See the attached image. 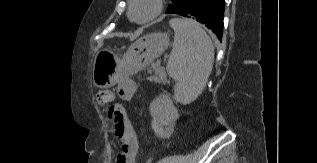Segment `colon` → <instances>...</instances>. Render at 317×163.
Instances as JSON below:
<instances>
[{
    "instance_id": "1",
    "label": "colon",
    "mask_w": 317,
    "mask_h": 163,
    "mask_svg": "<svg viewBox=\"0 0 317 163\" xmlns=\"http://www.w3.org/2000/svg\"><path fill=\"white\" fill-rule=\"evenodd\" d=\"M96 100L100 105L108 104L112 100V92L101 90L96 94ZM109 117L114 130L117 133H122L126 126V115L123 106L119 103H112L109 109Z\"/></svg>"
}]
</instances>
